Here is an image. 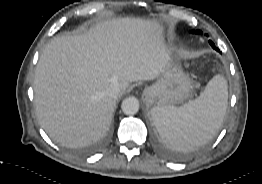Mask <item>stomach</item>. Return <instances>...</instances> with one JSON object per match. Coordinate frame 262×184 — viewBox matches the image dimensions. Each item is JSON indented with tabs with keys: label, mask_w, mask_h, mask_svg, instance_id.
<instances>
[{
	"label": "stomach",
	"mask_w": 262,
	"mask_h": 184,
	"mask_svg": "<svg viewBox=\"0 0 262 184\" xmlns=\"http://www.w3.org/2000/svg\"><path fill=\"white\" fill-rule=\"evenodd\" d=\"M193 86L180 65L171 63L154 84L144 89L143 96L158 107L176 106L190 99Z\"/></svg>",
	"instance_id": "obj_1"
}]
</instances>
